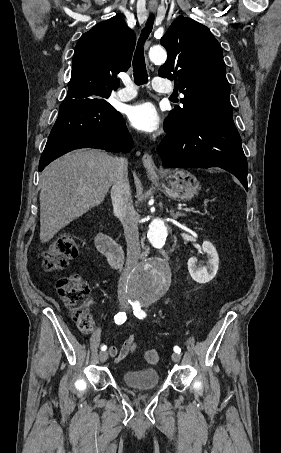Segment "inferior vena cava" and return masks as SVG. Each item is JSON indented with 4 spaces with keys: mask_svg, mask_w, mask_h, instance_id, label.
I'll return each mask as SVG.
<instances>
[{
    "mask_svg": "<svg viewBox=\"0 0 281 453\" xmlns=\"http://www.w3.org/2000/svg\"><path fill=\"white\" fill-rule=\"evenodd\" d=\"M118 176L111 188L114 214L120 218L127 243V259L125 269L118 283V299L126 301V285L132 269L136 267L140 255L138 218L132 204L130 184L128 180L127 158H117Z\"/></svg>",
    "mask_w": 281,
    "mask_h": 453,
    "instance_id": "1",
    "label": "inferior vena cava"
}]
</instances>
